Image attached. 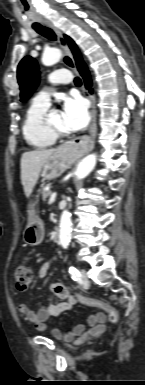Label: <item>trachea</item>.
Returning a JSON list of instances; mask_svg holds the SVG:
<instances>
[{"instance_id":"obj_1","label":"trachea","mask_w":145,"mask_h":385,"mask_svg":"<svg viewBox=\"0 0 145 385\" xmlns=\"http://www.w3.org/2000/svg\"><path fill=\"white\" fill-rule=\"evenodd\" d=\"M33 29L37 33L41 34L42 36L46 37L49 40H52V41L56 40V34L50 28H47V27L42 26L40 24H36V25H33ZM74 83L76 86H81V84H82L81 79L79 77H76L74 79Z\"/></svg>"}]
</instances>
